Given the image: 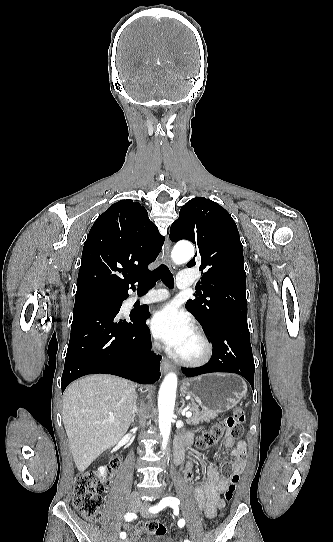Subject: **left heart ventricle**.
<instances>
[{"label": "left heart ventricle", "instance_id": "obj_1", "mask_svg": "<svg viewBox=\"0 0 333 542\" xmlns=\"http://www.w3.org/2000/svg\"><path fill=\"white\" fill-rule=\"evenodd\" d=\"M200 351V344L194 333L190 338L185 341V343L182 345L176 355L185 358H192L199 355Z\"/></svg>", "mask_w": 333, "mask_h": 542}]
</instances>
